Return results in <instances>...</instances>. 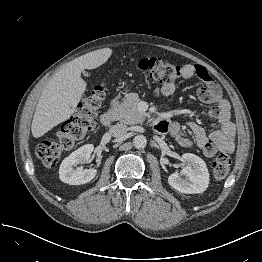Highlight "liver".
<instances>
[{"mask_svg": "<svg viewBox=\"0 0 262 262\" xmlns=\"http://www.w3.org/2000/svg\"><path fill=\"white\" fill-rule=\"evenodd\" d=\"M111 54L110 48L89 52L68 62L53 75L42 91L34 112L31 131L35 138L43 136L75 112L87 86L81 73L84 69L103 65Z\"/></svg>", "mask_w": 262, "mask_h": 262, "instance_id": "6515ba94", "label": "liver"}]
</instances>
